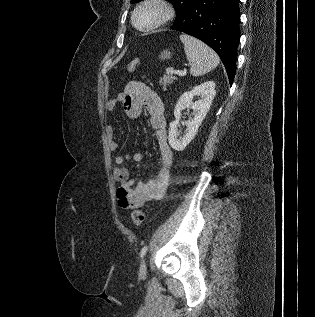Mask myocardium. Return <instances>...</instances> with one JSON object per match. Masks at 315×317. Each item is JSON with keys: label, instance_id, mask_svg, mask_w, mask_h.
<instances>
[{"label": "myocardium", "instance_id": "f54148a6", "mask_svg": "<svg viewBox=\"0 0 315 317\" xmlns=\"http://www.w3.org/2000/svg\"><path fill=\"white\" fill-rule=\"evenodd\" d=\"M145 8H154L158 11L157 18L150 24L141 26L137 22L138 13ZM174 7L168 0H142L137 6L134 8L132 12V24L133 26L142 32L152 31L157 29L167 22H169L174 16Z\"/></svg>", "mask_w": 315, "mask_h": 317}]
</instances>
